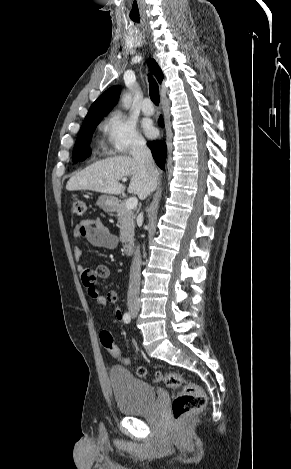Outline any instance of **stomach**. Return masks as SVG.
<instances>
[{
	"label": "stomach",
	"instance_id": "1",
	"mask_svg": "<svg viewBox=\"0 0 291 469\" xmlns=\"http://www.w3.org/2000/svg\"><path fill=\"white\" fill-rule=\"evenodd\" d=\"M96 204L106 212H113L117 208L118 199L111 195H101Z\"/></svg>",
	"mask_w": 291,
	"mask_h": 469
}]
</instances>
